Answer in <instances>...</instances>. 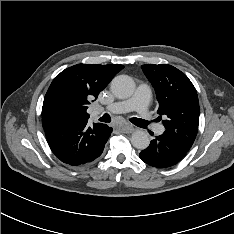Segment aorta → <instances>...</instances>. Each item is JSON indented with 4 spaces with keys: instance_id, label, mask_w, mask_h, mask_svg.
Listing matches in <instances>:
<instances>
[{
    "instance_id": "obj_1",
    "label": "aorta",
    "mask_w": 234,
    "mask_h": 234,
    "mask_svg": "<svg viewBox=\"0 0 234 234\" xmlns=\"http://www.w3.org/2000/svg\"><path fill=\"white\" fill-rule=\"evenodd\" d=\"M134 81L127 75L116 76L111 82L113 94L120 99L129 98L134 92ZM131 143L136 149H146L150 144V137L147 132L137 130L131 135Z\"/></svg>"
}]
</instances>
